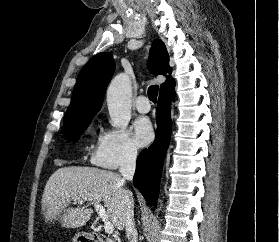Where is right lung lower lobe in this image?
<instances>
[{
    "label": "right lung lower lobe",
    "mask_w": 279,
    "mask_h": 242,
    "mask_svg": "<svg viewBox=\"0 0 279 242\" xmlns=\"http://www.w3.org/2000/svg\"><path fill=\"white\" fill-rule=\"evenodd\" d=\"M173 96L174 89L159 94L156 109V138L148 149L142 150L139 154L133 178L134 186L141 192L145 200L155 207L159 194L163 162L170 141V110Z\"/></svg>",
    "instance_id": "obj_1"
}]
</instances>
